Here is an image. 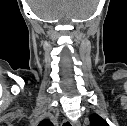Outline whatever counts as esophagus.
<instances>
[{
	"instance_id": "obj_1",
	"label": "esophagus",
	"mask_w": 127,
	"mask_h": 126,
	"mask_svg": "<svg viewBox=\"0 0 127 126\" xmlns=\"http://www.w3.org/2000/svg\"><path fill=\"white\" fill-rule=\"evenodd\" d=\"M65 123H66V121H65ZM75 125H76V126H79V123H78V122H76V123H75Z\"/></svg>"
}]
</instances>
